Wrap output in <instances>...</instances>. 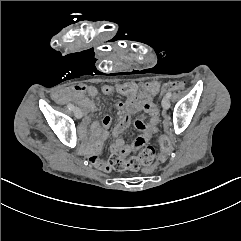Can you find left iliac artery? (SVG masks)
<instances>
[{
    "label": "left iliac artery",
    "instance_id": "44dca946",
    "mask_svg": "<svg viewBox=\"0 0 241 241\" xmlns=\"http://www.w3.org/2000/svg\"><path fill=\"white\" fill-rule=\"evenodd\" d=\"M171 95H172L171 92H168V93L166 94V98L169 99V98L171 97Z\"/></svg>",
    "mask_w": 241,
    "mask_h": 241
}]
</instances>
